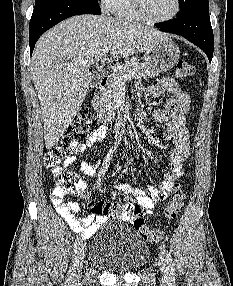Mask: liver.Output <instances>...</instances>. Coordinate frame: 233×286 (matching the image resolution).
<instances>
[{"instance_id": "liver-1", "label": "liver", "mask_w": 233, "mask_h": 286, "mask_svg": "<svg viewBox=\"0 0 233 286\" xmlns=\"http://www.w3.org/2000/svg\"><path fill=\"white\" fill-rule=\"evenodd\" d=\"M166 38L154 28L106 15L74 16L47 31L35 46L29 69L46 148L57 144L79 111L93 79L89 67L104 47H110L114 58L127 57Z\"/></svg>"}]
</instances>
